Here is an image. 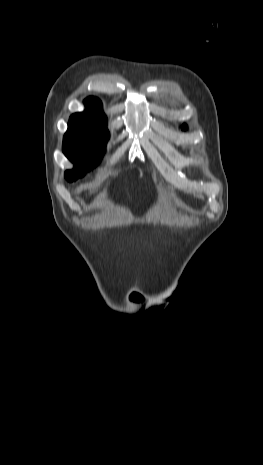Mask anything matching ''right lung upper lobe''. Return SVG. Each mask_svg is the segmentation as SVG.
Wrapping results in <instances>:
<instances>
[{"instance_id": "obj_1", "label": "right lung upper lobe", "mask_w": 263, "mask_h": 465, "mask_svg": "<svg viewBox=\"0 0 263 465\" xmlns=\"http://www.w3.org/2000/svg\"><path fill=\"white\" fill-rule=\"evenodd\" d=\"M87 110L82 113H75L70 118L86 119L94 122L107 123V118L102 110V103L98 98L89 97L85 100Z\"/></svg>"}]
</instances>
